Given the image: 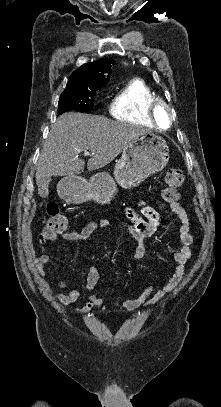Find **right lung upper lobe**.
Listing matches in <instances>:
<instances>
[{"label":"right lung upper lobe","instance_id":"1","mask_svg":"<svg viewBox=\"0 0 221 407\" xmlns=\"http://www.w3.org/2000/svg\"><path fill=\"white\" fill-rule=\"evenodd\" d=\"M111 64L114 61L101 58L98 61L83 64L69 77L65 90H95L105 86L111 73Z\"/></svg>","mask_w":221,"mask_h":407}]
</instances>
